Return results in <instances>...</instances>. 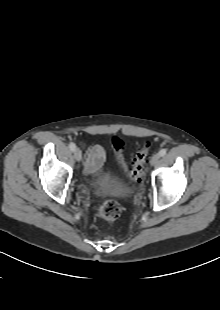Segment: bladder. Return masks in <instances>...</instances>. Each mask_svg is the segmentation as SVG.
<instances>
[{
	"label": "bladder",
	"mask_w": 220,
	"mask_h": 310,
	"mask_svg": "<svg viewBox=\"0 0 220 310\" xmlns=\"http://www.w3.org/2000/svg\"><path fill=\"white\" fill-rule=\"evenodd\" d=\"M103 179L107 183L105 187L106 191L118 194H126L128 192V187L113 174L105 172Z\"/></svg>",
	"instance_id": "31cf9c89"
}]
</instances>
